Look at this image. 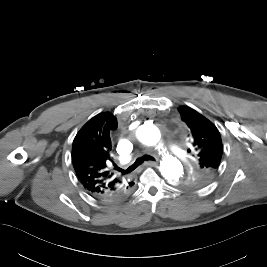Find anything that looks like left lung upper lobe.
Listing matches in <instances>:
<instances>
[{
  "instance_id": "obj_1",
  "label": "left lung upper lobe",
  "mask_w": 267,
  "mask_h": 267,
  "mask_svg": "<svg viewBox=\"0 0 267 267\" xmlns=\"http://www.w3.org/2000/svg\"><path fill=\"white\" fill-rule=\"evenodd\" d=\"M179 112L197 155V162L179 186L188 190L202 188L213 180L219 169L223 152L220 133L212 122L194 109L181 106Z\"/></svg>"
}]
</instances>
